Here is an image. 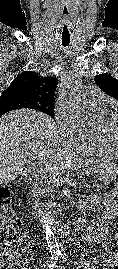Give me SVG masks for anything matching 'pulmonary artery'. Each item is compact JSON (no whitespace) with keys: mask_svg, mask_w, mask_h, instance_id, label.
Returning a JSON list of instances; mask_svg holds the SVG:
<instances>
[{"mask_svg":"<svg viewBox=\"0 0 118 269\" xmlns=\"http://www.w3.org/2000/svg\"><path fill=\"white\" fill-rule=\"evenodd\" d=\"M83 103L89 109L99 111L105 108V96L96 86H88L83 93Z\"/></svg>","mask_w":118,"mask_h":269,"instance_id":"e3ab8cb5","label":"pulmonary artery"}]
</instances>
